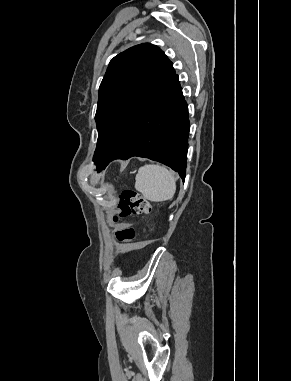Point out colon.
Segmentation results:
<instances>
[{"label": "colon", "mask_w": 291, "mask_h": 381, "mask_svg": "<svg viewBox=\"0 0 291 381\" xmlns=\"http://www.w3.org/2000/svg\"><path fill=\"white\" fill-rule=\"evenodd\" d=\"M151 203L148 199L140 196L133 190H125L120 196L118 204V215L114 216V221L126 218L130 215L148 214L151 212ZM116 239L122 245H131L135 243L137 232L131 225H123L116 230ZM147 242L137 243L138 247L146 245Z\"/></svg>", "instance_id": "1"}]
</instances>
